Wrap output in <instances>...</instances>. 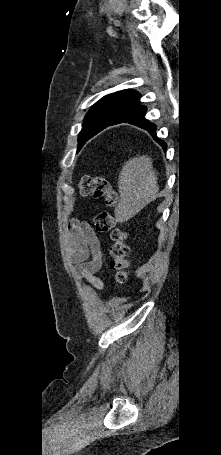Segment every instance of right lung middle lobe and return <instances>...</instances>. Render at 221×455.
Returning <instances> with one entry per match:
<instances>
[{"label":"right lung middle lobe","instance_id":"dd1d6c3e","mask_svg":"<svg viewBox=\"0 0 221 455\" xmlns=\"http://www.w3.org/2000/svg\"><path fill=\"white\" fill-rule=\"evenodd\" d=\"M124 113L126 111L121 108L108 105H93L85 117L82 130L79 134L78 150L88 139L110 126Z\"/></svg>","mask_w":221,"mask_h":455}]
</instances>
